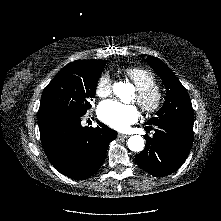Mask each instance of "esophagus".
<instances>
[{"label": "esophagus", "instance_id": "34e87169", "mask_svg": "<svg viewBox=\"0 0 221 221\" xmlns=\"http://www.w3.org/2000/svg\"><path fill=\"white\" fill-rule=\"evenodd\" d=\"M129 135L127 134H118V138H128Z\"/></svg>", "mask_w": 221, "mask_h": 221}]
</instances>
